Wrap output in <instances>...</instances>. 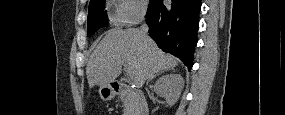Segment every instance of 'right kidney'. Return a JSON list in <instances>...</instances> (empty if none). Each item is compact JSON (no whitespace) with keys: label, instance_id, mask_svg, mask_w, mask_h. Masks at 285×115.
Masks as SVG:
<instances>
[{"label":"right kidney","instance_id":"1","mask_svg":"<svg viewBox=\"0 0 285 115\" xmlns=\"http://www.w3.org/2000/svg\"><path fill=\"white\" fill-rule=\"evenodd\" d=\"M183 86L184 80L180 74H169L157 80L154 90L169 106H173L178 101Z\"/></svg>","mask_w":285,"mask_h":115}]
</instances>
